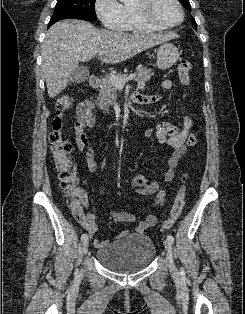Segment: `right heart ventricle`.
Returning a JSON list of instances; mask_svg holds the SVG:
<instances>
[{"mask_svg":"<svg viewBox=\"0 0 245 314\" xmlns=\"http://www.w3.org/2000/svg\"><path fill=\"white\" fill-rule=\"evenodd\" d=\"M162 30L142 21L136 13L135 5H123V27L120 31L146 33Z\"/></svg>","mask_w":245,"mask_h":314,"instance_id":"1","label":"right heart ventricle"}]
</instances>
